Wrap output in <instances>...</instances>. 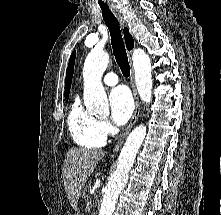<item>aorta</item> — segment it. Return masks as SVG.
<instances>
[{
    "label": "aorta",
    "instance_id": "762f6f07",
    "mask_svg": "<svg viewBox=\"0 0 221 215\" xmlns=\"http://www.w3.org/2000/svg\"><path fill=\"white\" fill-rule=\"evenodd\" d=\"M137 91L143 102L152 100L151 61L146 52L137 48L132 54ZM109 63V55L93 49L87 56L83 67L84 101L90 114L106 116L109 104L102 85V75ZM146 126L139 125L129 134L120 152L117 168L104 189L99 215H112L118 196L125 187L129 172L134 164L136 154L146 136Z\"/></svg>",
    "mask_w": 221,
    "mask_h": 215
}]
</instances>
